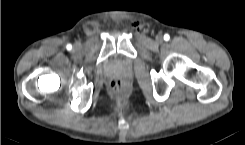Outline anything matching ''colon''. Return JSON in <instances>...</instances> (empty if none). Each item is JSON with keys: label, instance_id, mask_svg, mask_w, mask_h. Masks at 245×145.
<instances>
[{"label": "colon", "instance_id": "1", "mask_svg": "<svg viewBox=\"0 0 245 145\" xmlns=\"http://www.w3.org/2000/svg\"><path fill=\"white\" fill-rule=\"evenodd\" d=\"M109 90L113 96L121 97L125 96L128 93L129 86L126 81L116 79L110 83Z\"/></svg>", "mask_w": 245, "mask_h": 145}]
</instances>
